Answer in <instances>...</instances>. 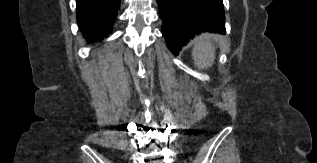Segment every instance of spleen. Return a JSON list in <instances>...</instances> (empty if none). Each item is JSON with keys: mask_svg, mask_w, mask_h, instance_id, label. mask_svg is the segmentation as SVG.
Masks as SVG:
<instances>
[{"mask_svg": "<svg viewBox=\"0 0 317 163\" xmlns=\"http://www.w3.org/2000/svg\"><path fill=\"white\" fill-rule=\"evenodd\" d=\"M192 55L196 66L199 69H206L213 65L215 48L206 40V36H201L192 51Z\"/></svg>", "mask_w": 317, "mask_h": 163, "instance_id": "1", "label": "spleen"}]
</instances>
